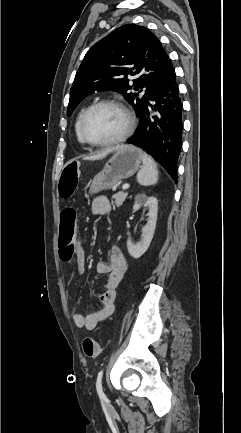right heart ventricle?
<instances>
[{"mask_svg": "<svg viewBox=\"0 0 241 433\" xmlns=\"http://www.w3.org/2000/svg\"><path fill=\"white\" fill-rule=\"evenodd\" d=\"M84 111H85V108H82V109L79 111V113H78V115H77V118H76V121H75V134H76L77 141H78L80 144H84L83 140H82L81 137H80V133H79V123H80V119H81V116H82V114L84 113Z\"/></svg>", "mask_w": 241, "mask_h": 433, "instance_id": "e07e8e85", "label": "right heart ventricle"}]
</instances>
